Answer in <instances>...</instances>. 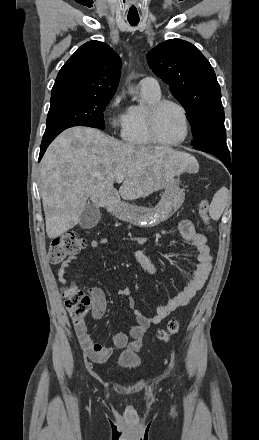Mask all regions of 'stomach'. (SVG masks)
<instances>
[{"label": "stomach", "mask_w": 259, "mask_h": 440, "mask_svg": "<svg viewBox=\"0 0 259 440\" xmlns=\"http://www.w3.org/2000/svg\"><path fill=\"white\" fill-rule=\"evenodd\" d=\"M185 194L174 180L167 185L159 203L153 208L120 202L112 210L118 219L140 227H154L168 220L183 204Z\"/></svg>", "instance_id": "0dacf381"}]
</instances>
